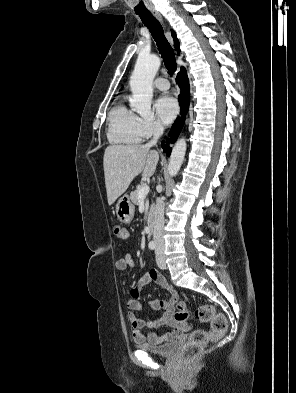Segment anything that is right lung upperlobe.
I'll use <instances>...</instances> for the list:
<instances>
[{"label": "right lung upper lobe", "mask_w": 296, "mask_h": 393, "mask_svg": "<svg viewBox=\"0 0 296 393\" xmlns=\"http://www.w3.org/2000/svg\"><path fill=\"white\" fill-rule=\"evenodd\" d=\"M172 37L174 38V46H175V49L177 50V52H179V41H178V39H177L176 34H175L174 31H172Z\"/></svg>", "instance_id": "obj_1"}]
</instances>
